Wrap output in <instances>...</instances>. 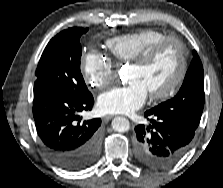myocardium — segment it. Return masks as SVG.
I'll return each mask as SVG.
<instances>
[{
  "label": "myocardium",
  "instance_id": "f54148a6",
  "mask_svg": "<svg viewBox=\"0 0 223 188\" xmlns=\"http://www.w3.org/2000/svg\"><path fill=\"white\" fill-rule=\"evenodd\" d=\"M169 44H175L178 47L180 55L179 69L174 80L165 89L149 93L150 98L154 100L166 99L174 95L183 84L188 72V53L185 44L177 37L167 36L149 46L139 56L130 61L131 66L144 67Z\"/></svg>",
  "mask_w": 223,
  "mask_h": 188
}]
</instances>
